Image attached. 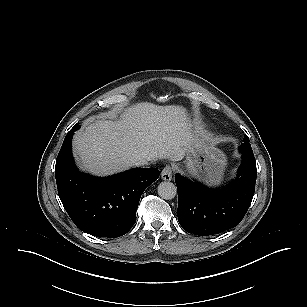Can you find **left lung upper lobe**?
<instances>
[{"instance_id":"5c2ea615","label":"left lung upper lobe","mask_w":307,"mask_h":307,"mask_svg":"<svg viewBox=\"0 0 307 307\" xmlns=\"http://www.w3.org/2000/svg\"><path fill=\"white\" fill-rule=\"evenodd\" d=\"M239 150H240L242 153H245V154H253L251 145H250V143H249V138H248V136H245V138H244V143H242V144L240 145Z\"/></svg>"}]
</instances>
